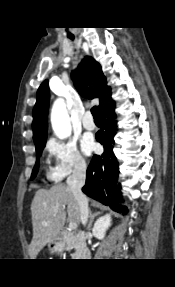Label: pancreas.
Returning <instances> with one entry per match:
<instances>
[{"instance_id":"pancreas-1","label":"pancreas","mask_w":175,"mask_h":287,"mask_svg":"<svg viewBox=\"0 0 175 287\" xmlns=\"http://www.w3.org/2000/svg\"><path fill=\"white\" fill-rule=\"evenodd\" d=\"M74 248L76 250V252L72 255L73 257H77L79 255V245L78 244H75L74 245Z\"/></svg>"}]
</instances>
